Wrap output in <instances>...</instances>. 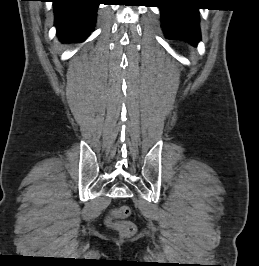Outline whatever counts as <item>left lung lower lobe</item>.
I'll return each mask as SVG.
<instances>
[{
  "instance_id": "0a47b994",
  "label": "left lung lower lobe",
  "mask_w": 259,
  "mask_h": 266,
  "mask_svg": "<svg viewBox=\"0 0 259 266\" xmlns=\"http://www.w3.org/2000/svg\"><path fill=\"white\" fill-rule=\"evenodd\" d=\"M162 27L167 38H178L193 45L201 39L196 8L181 5L178 0H161Z\"/></svg>"
}]
</instances>
